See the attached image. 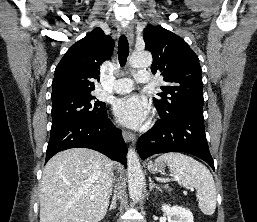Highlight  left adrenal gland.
Returning <instances> with one entry per match:
<instances>
[{
	"instance_id": "obj_1",
	"label": "left adrenal gland",
	"mask_w": 257,
	"mask_h": 222,
	"mask_svg": "<svg viewBox=\"0 0 257 222\" xmlns=\"http://www.w3.org/2000/svg\"><path fill=\"white\" fill-rule=\"evenodd\" d=\"M149 190L152 191L153 188H156L157 190L161 191V189L155 184L153 183L152 179L149 177Z\"/></svg>"
}]
</instances>
